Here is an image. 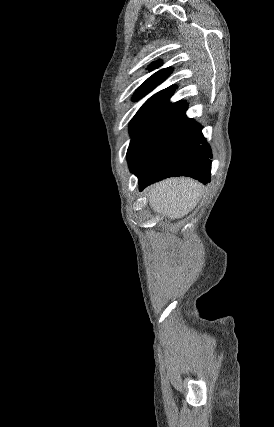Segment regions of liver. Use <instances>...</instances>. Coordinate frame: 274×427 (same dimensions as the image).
Instances as JSON below:
<instances>
[{"label": "liver", "instance_id": "obj_1", "mask_svg": "<svg viewBox=\"0 0 274 427\" xmlns=\"http://www.w3.org/2000/svg\"><path fill=\"white\" fill-rule=\"evenodd\" d=\"M204 186L191 178H168L147 188L149 204L164 217H183L197 206Z\"/></svg>", "mask_w": 274, "mask_h": 427}]
</instances>
